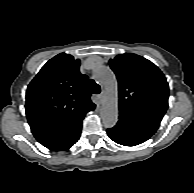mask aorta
Segmentation results:
<instances>
[{
  "instance_id": "aorta-1",
  "label": "aorta",
  "mask_w": 194,
  "mask_h": 193,
  "mask_svg": "<svg viewBox=\"0 0 194 193\" xmlns=\"http://www.w3.org/2000/svg\"><path fill=\"white\" fill-rule=\"evenodd\" d=\"M93 76L107 93L101 108V119L105 127H113L118 119L117 80L114 73L105 66L96 65Z\"/></svg>"
}]
</instances>
